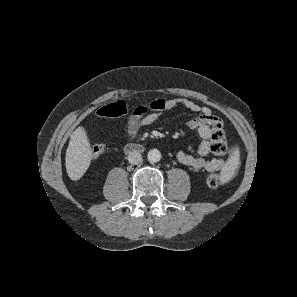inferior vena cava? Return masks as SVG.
<instances>
[{
	"mask_svg": "<svg viewBox=\"0 0 297 297\" xmlns=\"http://www.w3.org/2000/svg\"><path fill=\"white\" fill-rule=\"evenodd\" d=\"M142 161V155L140 152L133 150L128 154V162L130 164H139Z\"/></svg>",
	"mask_w": 297,
	"mask_h": 297,
	"instance_id": "602c4592",
	"label": "inferior vena cava"
}]
</instances>
